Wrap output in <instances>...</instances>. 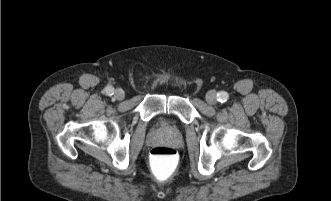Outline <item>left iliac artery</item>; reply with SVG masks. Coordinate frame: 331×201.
<instances>
[{"mask_svg":"<svg viewBox=\"0 0 331 201\" xmlns=\"http://www.w3.org/2000/svg\"><path fill=\"white\" fill-rule=\"evenodd\" d=\"M228 98H229V95L227 92L222 91L217 94V99L221 103L226 102L228 100Z\"/></svg>","mask_w":331,"mask_h":201,"instance_id":"1","label":"left iliac artery"}]
</instances>
